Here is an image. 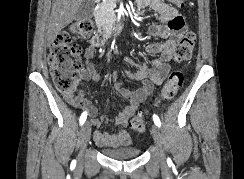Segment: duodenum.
I'll list each match as a JSON object with an SVG mask.
<instances>
[{"instance_id": "duodenum-1", "label": "duodenum", "mask_w": 244, "mask_h": 179, "mask_svg": "<svg viewBox=\"0 0 244 179\" xmlns=\"http://www.w3.org/2000/svg\"><path fill=\"white\" fill-rule=\"evenodd\" d=\"M96 3H102L103 0H95ZM125 16L123 14H117L116 20L114 23L106 24L102 23L99 30L96 32V34L93 37V43L97 46H101L106 44L109 40L112 39V37L116 34H118L122 27L125 24Z\"/></svg>"}]
</instances>
